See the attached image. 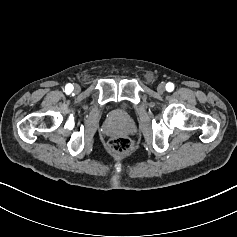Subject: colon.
I'll return each mask as SVG.
<instances>
[{"mask_svg":"<svg viewBox=\"0 0 237 237\" xmlns=\"http://www.w3.org/2000/svg\"><path fill=\"white\" fill-rule=\"evenodd\" d=\"M108 148L115 155H124L132 150L133 143L130 138L119 136L109 142Z\"/></svg>","mask_w":237,"mask_h":237,"instance_id":"colon-1","label":"colon"}]
</instances>
